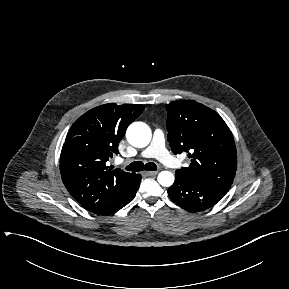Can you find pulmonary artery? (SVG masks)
<instances>
[{
    "label": "pulmonary artery",
    "mask_w": 289,
    "mask_h": 289,
    "mask_svg": "<svg viewBox=\"0 0 289 289\" xmlns=\"http://www.w3.org/2000/svg\"><path fill=\"white\" fill-rule=\"evenodd\" d=\"M141 156L144 158H157L166 165L174 163L173 157L165 149L164 134L159 129L155 130L151 143L141 152Z\"/></svg>",
    "instance_id": "pulmonary-artery-1"
}]
</instances>
